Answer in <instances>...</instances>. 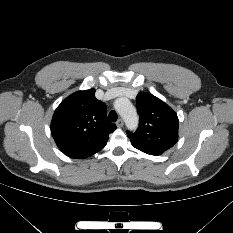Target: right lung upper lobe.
<instances>
[{
  "mask_svg": "<svg viewBox=\"0 0 233 233\" xmlns=\"http://www.w3.org/2000/svg\"><path fill=\"white\" fill-rule=\"evenodd\" d=\"M116 125L107 119V109L95 90L78 91L55 110L51 133L58 148L70 158H87L105 147Z\"/></svg>",
  "mask_w": 233,
  "mask_h": 233,
  "instance_id": "right-lung-upper-lobe-1",
  "label": "right lung upper lobe"
}]
</instances>
